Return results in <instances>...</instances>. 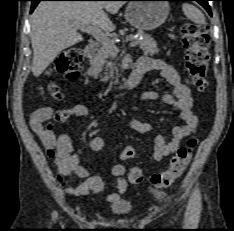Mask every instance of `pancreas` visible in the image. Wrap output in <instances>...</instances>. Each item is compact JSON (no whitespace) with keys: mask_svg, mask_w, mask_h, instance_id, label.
Masks as SVG:
<instances>
[{"mask_svg":"<svg viewBox=\"0 0 234 231\" xmlns=\"http://www.w3.org/2000/svg\"><path fill=\"white\" fill-rule=\"evenodd\" d=\"M138 35L142 36L143 39L142 40L138 38L135 39L133 36H131L130 38L138 43L140 49L143 51L145 55L153 56L159 52L156 41L150 35L145 34L142 31H139ZM172 38L174 39L175 37L172 36ZM117 53L118 51L112 48H106L102 46L90 60L91 66L88 70V74L94 78H97L100 72L103 70L104 65H106L107 70H110L112 76L113 71L117 69V65L115 62L111 60L114 59ZM108 79L109 76L107 75V73H105V77L102 79V81L105 82Z\"/></svg>","mask_w":234,"mask_h":231,"instance_id":"cf45deb5","label":"pancreas"}]
</instances>
